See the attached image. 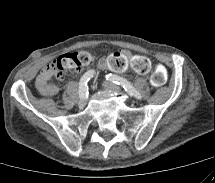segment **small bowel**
<instances>
[{"label":"small bowel","mask_w":215,"mask_h":183,"mask_svg":"<svg viewBox=\"0 0 215 183\" xmlns=\"http://www.w3.org/2000/svg\"><path fill=\"white\" fill-rule=\"evenodd\" d=\"M98 67L122 74H127L132 71L137 76H146L152 70V61L145 54H136L131 58L129 51L119 50L107 53L102 57L98 61ZM54 75L51 64L42 69L35 83L39 94L45 97H52L58 93V87L51 82Z\"/></svg>","instance_id":"c3829d8e"}]
</instances>
